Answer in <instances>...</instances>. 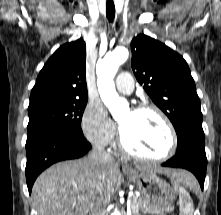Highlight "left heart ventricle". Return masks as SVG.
Listing matches in <instances>:
<instances>
[{"label": "left heart ventricle", "instance_id": "left-heart-ventricle-1", "mask_svg": "<svg viewBox=\"0 0 221 215\" xmlns=\"http://www.w3.org/2000/svg\"><path fill=\"white\" fill-rule=\"evenodd\" d=\"M128 147L149 157L163 155L169 148V135L162 120L153 112L128 111L120 119Z\"/></svg>", "mask_w": 221, "mask_h": 215}]
</instances>
